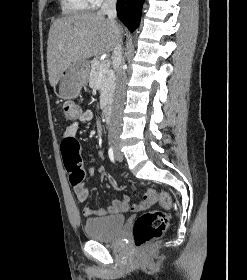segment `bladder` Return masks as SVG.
Segmentation results:
<instances>
[{
    "instance_id": "obj_1",
    "label": "bladder",
    "mask_w": 247,
    "mask_h": 280,
    "mask_svg": "<svg viewBox=\"0 0 247 280\" xmlns=\"http://www.w3.org/2000/svg\"><path fill=\"white\" fill-rule=\"evenodd\" d=\"M124 223L122 215L90 218L84 223V234L91 240L111 242L119 237Z\"/></svg>"
}]
</instances>
